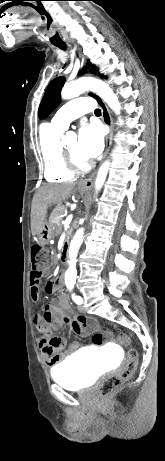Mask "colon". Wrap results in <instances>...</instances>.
Here are the masks:
<instances>
[{
    "instance_id": "obj_1",
    "label": "colon",
    "mask_w": 165,
    "mask_h": 461,
    "mask_svg": "<svg viewBox=\"0 0 165 461\" xmlns=\"http://www.w3.org/2000/svg\"><path fill=\"white\" fill-rule=\"evenodd\" d=\"M31 279L39 282L43 276L45 268L48 266L49 257L46 249L41 245H34L31 250ZM119 342L122 345H129L130 338L127 334H119ZM138 365V352L131 348L127 352V362L125 366L116 374L105 377L100 385L99 391L102 398H108L114 392L118 391L122 385L128 381L134 374Z\"/></svg>"
}]
</instances>
